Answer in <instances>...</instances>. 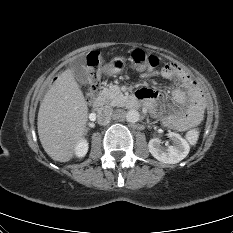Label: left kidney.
I'll return each instance as SVG.
<instances>
[{
    "label": "left kidney",
    "instance_id": "left-kidney-1",
    "mask_svg": "<svg viewBox=\"0 0 233 233\" xmlns=\"http://www.w3.org/2000/svg\"><path fill=\"white\" fill-rule=\"evenodd\" d=\"M168 137L172 140V145L161 146L158 138H153L148 143L149 152L158 161L166 164H175L183 160L189 153V143L179 134L170 132Z\"/></svg>",
    "mask_w": 233,
    "mask_h": 233
}]
</instances>
